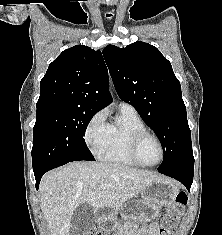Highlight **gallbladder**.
Listing matches in <instances>:
<instances>
[{
	"label": "gallbladder",
	"mask_w": 222,
	"mask_h": 235,
	"mask_svg": "<svg viewBox=\"0 0 222 235\" xmlns=\"http://www.w3.org/2000/svg\"><path fill=\"white\" fill-rule=\"evenodd\" d=\"M95 223V212L91 205L84 203L79 205L72 217L70 235H87Z\"/></svg>",
	"instance_id": "obj_1"
}]
</instances>
